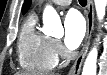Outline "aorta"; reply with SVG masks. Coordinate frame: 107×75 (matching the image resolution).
<instances>
[{"label": "aorta", "mask_w": 107, "mask_h": 75, "mask_svg": "<svg viewBox=\"0 0 107 75\" xmlns=\"http://www.w3.org/2000/svg\"><path fill=\"white\" fill-rule=\"evenodd\" d=\"M107 0H95V9L98 20L101 21L105 16ZM43 32L52 36H61L64 33L61 20L56 10L52 6H47L43 13ZM98 50L94 47L88 54L82 75H96L97 72Z\"/></svg>", "instance_id": "1"}]
</instances>
